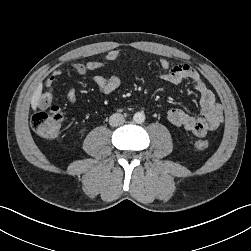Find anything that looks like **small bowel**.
I'll return each instance as SVG.
<instances>
[{
	"mask_svg": "<svg viewBox=\"0 0 251 251\" xmlns=\"http://www.w3.org/2000/svg\"><path fill=\"white\" fill-rule=\"evenodd\" d=\"M120 52L111 50L105 56V61H89L86 64H75L74 69L81 75L88 72H95L100 68L111 67V62L118 59ZM160 78L163 81L179 84L183 81H189L200 96L201 112L198 116H192L178 108H171L167 111L166 117L168 121L178 127L191 131L198 137H203L208 131L215 130L223 120L222 109L216 102L212 91L201 80L198 72L188 64H179L172 66L166 58L159 61ZM62 75L60 69L54 70L51 75L43 82L47 89L41 93L37 100V106L41 109L48 107L53 99V88L57 79ZM92 80L97 88L104 94H110L117 90L121 84V80L116 75L105 77L99 74H93ZM70 102H75L77 93L75 89H70L67 94Z\"/></svg>",
	"mask_w": 251,
	"mask_h": 251,
	"instance_id": "obj_1",
	"label": "small bowel"
}]
</instances>
